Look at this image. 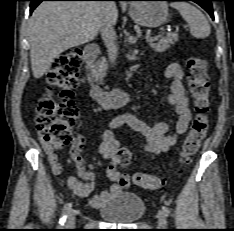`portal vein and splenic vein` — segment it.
I'll use <instances>...</instances> for the list:
<instances>
[{
    "label": "portal vein and splenic vein",
    "mask_w": 234,
    "mask_h": 231,
    "mask_svg": "<svg viewBox=\"0 0 234 231\" xmlns=\"http://www.w3.org/2000/svg\"><path fill=\"white\" fill-rule=\"evenodd\" d=\"M160 36L161 35H157V36H154V37L147 38L146 41L149 42V43L155 42V41H157L159 39Z\"/></svg>",
    "instance_id": "portal-vein-and-splenic-vein-1"
}]
</instances>
